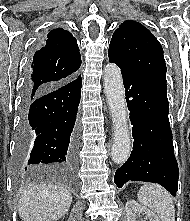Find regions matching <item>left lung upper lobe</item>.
I'll return each instance as SVG.
<instances>
[{
    "mask_svg": "<svg viewBox=\"0 0 190 221\" xmlns=\"http://www.w3.org/2000/svg\"><path fill=\"white\" fill-rule=\"evenodd\" d=\"M109 61L121 71L153 77L166 82L163 49L154 35L142 24L124 21L115 30L108 51Z\"/></svg>",
    "mask_w": 190,
    "mask_h": 221,
    "instance_id": "1",
    "label": "left lung upper lobe"
}]
</instances>
